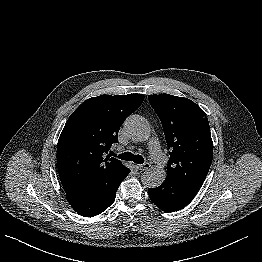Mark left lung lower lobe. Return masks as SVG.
<instances>
[{
	"label": "left lung lower lobe",
	"mask_w": 262,
	"mask_h": 262,
	"mask_svg": "<svg viewBox=\"0 0 262 262\" xmlns=\"http://www.w3.org/2000/svg\"><path fill=\"white\" fill-rule=\"evenodd\" d=\"M198 190L183 186L166 178L156 188H150L148 195L152 202L164 212H174L189 204Z\"/></svg>",
	"instance_id": "left-lung-lower-lobe-1"
}]
</instances>
